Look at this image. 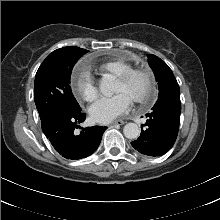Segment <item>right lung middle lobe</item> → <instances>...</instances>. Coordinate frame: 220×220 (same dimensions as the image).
I'll use <instances>...</instances> for the list:
<instances>
[{
  "mask_svg": "<svg viewBox=\"0 0 220 220\" xmlns=\"http://www.w3.org/2000/svg\"><path fill=\"white\" fill-rule=\"evenodd\" d=\"M87 52L53 51L39 67L34 85V100L41 123L61 113L81 112L72 94L71 71Z\"/></svg>",
  "mask_w": 220,
  "mask_h": 220,
  "instance_id": "obj_1",
  "label": "right lung middle lobe"
}]
</instances>
